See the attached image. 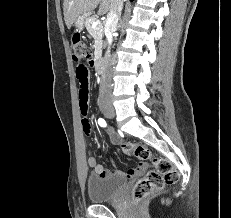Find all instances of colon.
<instances>
[{
	"mask_svg": "<svg viewBox=\"0 0 231 218\" xmlns=\"http://www.w3.org/2000/svg\"><path fill=\"white\" fill-rule=\"evenodd\" d=\"M71 45L72 56L78 66L80 63H85L86 60H92L91 49L83 42L79 34L73 35ZM121 150L126 155L150 161L154 167V170L148 172L136 182L132 190L134 203H139L149 195L161 190L165 185L174 184L178 181L179 173L174 165L165 158L154 156L146 146L129 142L122 144Z\"/></svg>",
	"mask_w": 231,
	"mask_h": 218,
	"instance_id": "1",
	"label": "colon"
}]
</instances>
